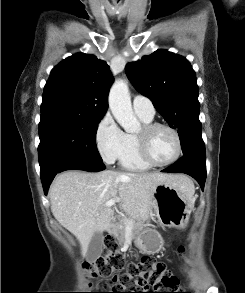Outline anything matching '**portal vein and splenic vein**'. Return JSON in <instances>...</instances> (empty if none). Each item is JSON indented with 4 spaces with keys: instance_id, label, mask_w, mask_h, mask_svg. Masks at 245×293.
<instances>
[{
    "instance_id": "1",
    "label": "portal vein and splenic vein",
    "mask_w": 245,
    "mask_h": 293,
    "mask_svg": "<svg viewBox=\"0 0 245 293\" xmlns=\"http://www.w3.org/2000/svg\"><path fill=\"white\" fill-rule=\"evenodd\" d=\"M117 201H118V199H111V200H109L108 202L105 203V206H106V207H111V206H113ZM131 225H132V222H127V223H126V229H127V230H131Z\"/></svg>"
}]
</instances>
